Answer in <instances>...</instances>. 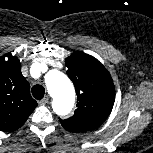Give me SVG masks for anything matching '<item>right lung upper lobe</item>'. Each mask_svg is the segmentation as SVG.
Returning <instances> with one entry per match:
<instances>
[{
    "instance_id": "cb5924a9",
    "label": "right lung upper lobe",
    "mask_w": 153,
    "mask_h": 153,
    "mask_svg": "<svg viewBox=\"0 0 153 153\" xmlns=\"http://www.w3.org/2000/svg\"><path fill=\"white\" fill-rule=\"evenodd\" d=\"M0 57V130L15 131L20 128L37 102L30 95V85L21 74L19 59L11 54Z\"/></svg>"
}]
</instances>
